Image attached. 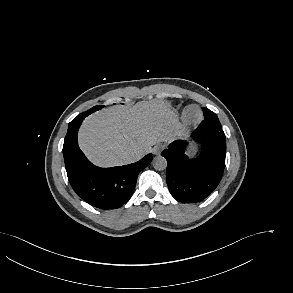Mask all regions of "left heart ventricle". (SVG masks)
Listing matches in <instances>:
<instances>
[{
	"instance_id": "left-heart-ventricle-1",
	"label": "left heart ventricle",
	"mask_w": 293,
	"mask_h": 293,
	"mask_svg": "<svg viewBox=\"0 0 293 293\" xmlns=\"http://www.w3.org/2000/svg\"><path fill=\"white\" fill-rule=\"evenodd\" d=\"M192 115H195V113H194V112H192Z\"/></svg>"
}]
</instances>
